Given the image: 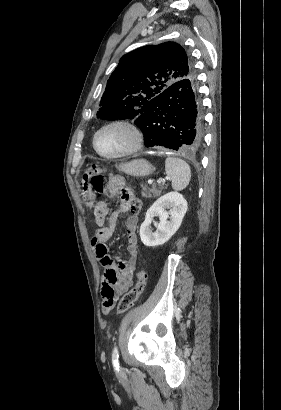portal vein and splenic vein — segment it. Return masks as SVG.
Listing matches in <instances>:
<instances>
[{
  "mask_svg": "<svg viewBox=\"0 0 281 410\" xmlns=\"http://www.w3.org/2000/svg\"><path fill=\"white\" fill-rule=\"evenodd\" d=\"M148 183H149V184H152V183H153V180H148Z\"/></svg>",
  "mask_w": 281,
  "mask_h": 410,
  "instance_id": "1",
  "label": "portal vein and splenic vein"
}]
</instances>
